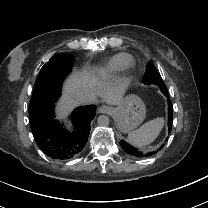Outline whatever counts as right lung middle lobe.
Returning <instances> with one entry per match:
<instances>
[{"label": "right lung middle lobe", "mask_w": 208, "mask_h": 208, "mask_svg": "<svg viewBox=\"0 0 208 208\" xmlns=\"http://www.w3.org/2000/svg\"><path fill=\"white\" fill-rule=\"evenodd\" d=\"M51 59H59V60H62L64 62V69H63V71H65L64 72L65 76L71 71V69H72V62H73L72 55H70V54H56ZM29 113H30V116H31L30 110H29Z\"/></svg>", "instance_id": "obj_1"}]
</instances>
